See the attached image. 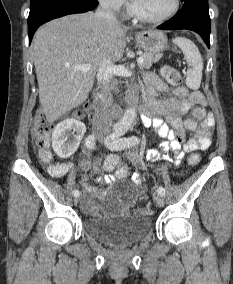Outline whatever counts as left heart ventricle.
Listing matches in <instances>:
<instances>
[{
  "mask_svg": "<svg viewBox=\"0 0 233 284\" xmlns=\"http://www.w3.org/2000/svg\"><path fill=\"white\" fill-rule=\"evenodd\" d=\"M135 9L143 15L149 17H158L166 13L172 0H132Z\"/></svg>",
  "mask_w": 233,
  "mask_h": 284,
  "instance_id": "1",
  "label": "left heart ventricle"
}]
</instances>
